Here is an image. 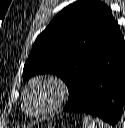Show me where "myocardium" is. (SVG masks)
Segmentation results:
<instances>
[{"instance_id":"f54148a6","label":"myocardium","mask_w":125,"mask_h":128,"mask_svg":"<svg viewBox=\"0 0 125 128\" xmlns=\"http://www.w3.org/2000/svg\"><path fill=\"white\" fill-rule=\"evenodd\" d=\"M37 87H44L48 91L50 99L45 106L32 109L28 104V97ZM67 96L68 88L62 79L50 74L35 76L29 81L23 92L22 109L24 113L31 117L47 116L61 108L67 100Z\"/></svg>"}]
</instances>
